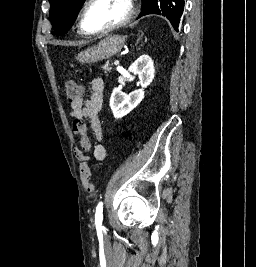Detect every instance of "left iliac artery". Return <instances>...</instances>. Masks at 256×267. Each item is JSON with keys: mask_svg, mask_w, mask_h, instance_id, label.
I'll return each instance as SVG.
<instances>
[{"mask_svg": "<svg viewBox=\"0 0 256 267\" xmlns=\"http://www.w3.org/2000/svg\"><path fill=\"white\" fill-rule=\"evenodd\" d=\"M103 221V202H99L96 207L95 224L96 226L102 225Z\"/></svg>", "mask_w": 256, "mask_h": 267, "instance_id": "obj_1", "label": "left iliac artery"}]
</instances>
